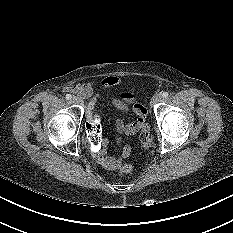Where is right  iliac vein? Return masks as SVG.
Returning <instances> with one entry per match:
<instances>
[{
  "label": "right iliac vein",
  "instance_id": "63e3f726",
  "mask_svg": "<svg viewBox=\"0 0 233 233\" xmlns=\"http://www.w3.org/2000/svg\"><path fill=\"white\" fill-rule=\"evenodd\" d=\"M72 101L75 104H82V99L79 97H73Z\"/></svg>",
  "mask_w": 233,
  "mask_h": 233
}]
</instances>
